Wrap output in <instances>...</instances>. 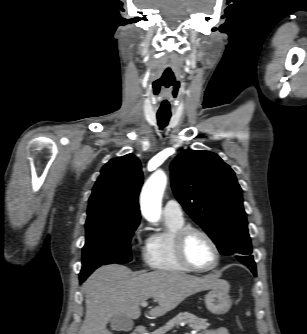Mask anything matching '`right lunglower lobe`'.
<instances>
[{"instance_id": "right-lung-lower-lobe-1", "label": "right lung lower lobe", "mask_w": 307, "mask_h": 334, "mask_svg": "<svg viewBox=\"0 0 307 334\" xmlns=\"http://www.w3.org/2000/svg\"><path fill=\"white\" fill-rule=\"evenodd\" d=\"M84 280L80 279V282H83Z\"/></svg>"}]
</instances>
